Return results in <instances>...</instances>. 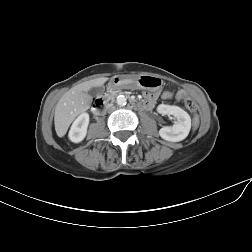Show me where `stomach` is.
Returning a JSON list of instances; mask_svg holds the SVG:
<instances>
[{"label":"stomach","mask_w":252,"mask_h":252,"mask_svg":"<svg viewBox=\"0 0 252 252\" xmlns=\"http://www.w3.org/2000/svg\"><path fill=\"white\" fill-rule=\"evenodd\" d=\"M110 84L113 86L132 85L138 89H144L151 92L158 91L161 87V81L158 77L150 74H141L136 77H112Z\"/></svg>","instance_id":"stomach-1"}]
</instances>
